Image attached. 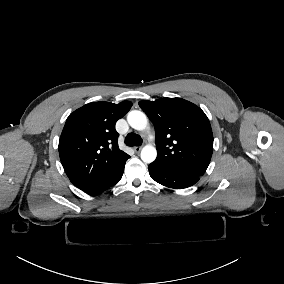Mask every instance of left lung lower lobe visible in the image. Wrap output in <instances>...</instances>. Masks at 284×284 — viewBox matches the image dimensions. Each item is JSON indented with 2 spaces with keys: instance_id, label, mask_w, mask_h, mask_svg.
Instances as JSON below:
<instances>
[{
  "instance_id": "1",
  "label": "left lung lower lobe",
  "mask_w": 284,
  "mask_h": 284,
  "mask_svg": "<svg viewBox=\"0 0 284 284\" xmlns=\"http://www.w3.org/2000/svg\"><path fill=\"white\" fill-rule=\"evenodd\" d=\"M148 169L153 180L174 189L190 187L200 179V176L173 171L155 163H151Z\"/></svg>"
}]
</instances>
